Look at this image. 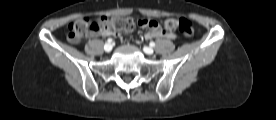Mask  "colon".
<instances>
[{
    "label": "colon",
    "instance_id": "obj_1",
    "mask_svg": "<svg viewBox=\"0 0 276 120\" xmlns=\"http://www.w3.org/2000/svg\"><path fill=\"white\" fill-rule=\"evenodd\" d=\"M152 21L145 22L140 21L139 24L142 26L145 24L146 27H152ZM158 23V22H157ZM136 22L130 17H115L108 18L105 16L99 17L92 21L87 18H82L74 21L69 25L67 39L71 43H77L80 39L88 34L95 33H116L119 31L131 32L135 29ZM164 31L167 33H173L179 31L185 37H192L195 34L194 24L186 18H169L163 23Z\"/></svg>",
    "mask_w": 276,
    "mask_h": 120
}]
</instances>
